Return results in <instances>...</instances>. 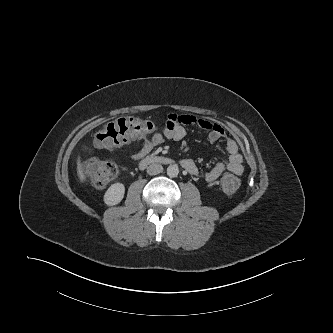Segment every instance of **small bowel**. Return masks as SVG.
<instances>
[{
    "instance_id": "c3829d8e",
    "label": "small bowel",
    "mask_w": 333,
    "mask_h": 333,
    "mask_svg": "<svg viewBox=\"0 0 333 333\" xmlns=\"http://www.w3.org/2000/svg\"><path fill=\"white\" fill-rule=\"evenodd\" d=\"M192 124H196L198 127L207 130L208 139L212 144H216L223 139L228 153L226 161L218 162L211 170L205 173V181L207 183H215L226 171L240 175L243 172V165L237 143L225 134L224 129L219 124L211 123L205 119H196L191 115L170 114L166 121L164 132L144 138L143 147L134 154V160L138 161L142 159L153 148L162 144L165 140H182L186 135L185 126ZM182 165L189 173L197 174V166L192 159H183Z\"/></svg>"
}]
</instances>
